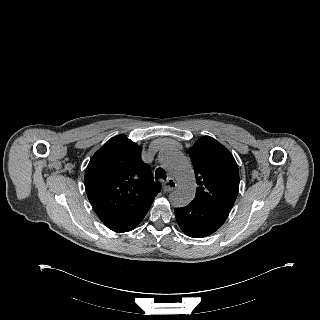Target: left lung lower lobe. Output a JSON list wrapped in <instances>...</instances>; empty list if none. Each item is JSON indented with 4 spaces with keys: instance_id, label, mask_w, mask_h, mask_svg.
Wrapping results in <instances>:
<instances>
[{
    "instance_id": "0a47b994",
    "label": "left lung lower lobe",
    "mask_w": 320,
    "mask_h": 320,
    "mask_svg": "<svg viewBox=\"0 0 320 320\" xmlns=\"http://www.w3.org/2000/svg\"><path fill=\"white\" fill-rule=\"evenodd\" d=\"M229 212L204 202L192 201L175 209L178 225L192 238H202L214 233L226 220Z\"/></svg>"
}]
</instances>
